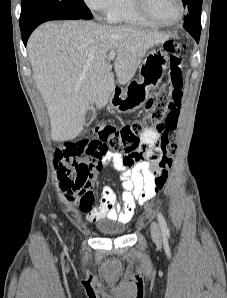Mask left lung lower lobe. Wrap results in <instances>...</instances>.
Returning <instances> with one entry per match:
<instances>
[{
	"mask_svg": "<svg viewBox=\"0 0 227 298\" xmlns=\"http://www.w3.org/2000/svg\"><path fill=\"white\" fill-rule=\"evenodd\" d=\"M195 40H196L197 42H199V37H196Z\"/></svg>",
	"mask_w": 227,
	"mask_h": 298,
	"instance_id": "left-lung-lower-lobe-1",
	"label": "left lung lower lobe"
}]
</instances>
